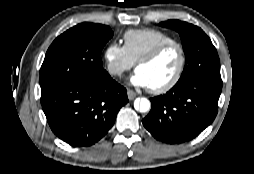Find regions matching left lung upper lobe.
<instances>
[{"mask_svg":"<svg viewBox=\"0 0 254 174\" xmlns=\"http://www.w3.org/2000/svg\"><path fill=\"white\" fill-rule=\"evenodd\" d=\"M160 26L176 30L181 37L186 62L176 85L200 78H221L217 51L201 28L179 20H168Z\"/></svg>","mask_w":254,"mask_h":174,"instance_id":"obj_1","label":"left lung upper lobe"}]
</instances>
